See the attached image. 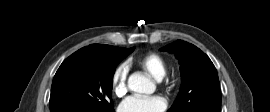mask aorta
I'll use <instances>...</instances> for the list:
<instances>
[{
	"instance_id": "762f6f07",
	"label": "aorta",
	"mask_w": 270,
	"mask_h": 112,
	"mask_svg": "<svg viewBox=\"0 0 270 112\" xmlns=\"http://www.w3.org/2000/svg\"><path fill=\"white\" fill-rule=\"evenodd\" d=\"M128 87L136 93L152 94L155 90L154 83L148 77L137 73L129 77Z\"/></svg>"
}]
</instances>
